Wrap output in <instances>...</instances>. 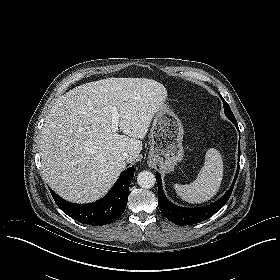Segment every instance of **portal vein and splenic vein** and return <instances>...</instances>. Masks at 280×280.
Instances as JSON below:
<instances>
[{
  "label": "portal vein and splenic vein",
  "mask_w": 280,
  "mask_h": 280,
  "mask_svg": "<svg viewBox=\"0 0 280 280\" xmlns=\"http://www.w3.org/2000/svg\"><path fill=\"white\" fill-rule=\"evenodd\" d=\"M111 113H112L111 128H112L113 132H117L118 131V126H119V114H118L117 108L112 107L111 108Z\"/></svg>",
  "instance_id": "1"
}]
</instances>
